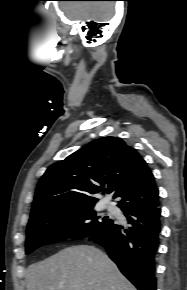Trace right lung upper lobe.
<instances>
[{"label":"right lung upper lobe","mask_w":187,"mask_h":290,"mask_svg":"<svg viewBox=\"0 0 187 290\" xmlns=\"http://www.w3.org/2000/svg\"><path fill=\"white\" fill-rule=\"evenodd\" d=\"M112 191L122 210L159 202L154 176L138 152L120 138L103 137L47 169L28 225L53 212L94 205L93 195Z\"/></svg>","instance_id":"cb5924a9"}]
</instances>
